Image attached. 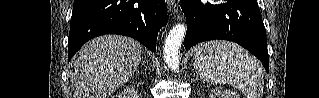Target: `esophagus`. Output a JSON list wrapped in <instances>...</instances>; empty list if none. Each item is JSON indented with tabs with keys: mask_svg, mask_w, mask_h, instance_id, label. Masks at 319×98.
<instances>
[{
	"mask_svg": "<svg viewBox=\"0 0 319 98\" xmlns=\"http://www.w3.org/2000/svg\"><path fill=\"white\" fill-rule=\"evenodd\" d=\"M167 3H168V5H169L170 7H173L174 4H175V1H173V0H167Z\"/></svg>",
	"mask_w": 319,
	"mask_h": 98,
	"instance_id": "34e87169",
	"label": "esophagus"
}]
</instances>
